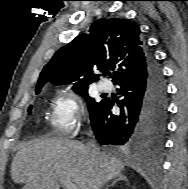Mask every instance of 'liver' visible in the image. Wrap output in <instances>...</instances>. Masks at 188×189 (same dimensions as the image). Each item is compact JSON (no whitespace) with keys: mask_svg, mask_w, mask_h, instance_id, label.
<instances>
[{"mask_svg":"<svg viewBox=\"0 0 188 189\" xmlns=\"http://www.w3.org/2000/svg\"><path fill=\"white\" fill-rule=\"evenodd\" d=\"M124 170L115 156L92 155L83 143L63 138H40L23 144L16 153L11 176L22 189H60L61 180L78 189H101Z\"/></svg>","mask_w":188,"mask_h":189,"instance_id":"6515ba94","label":"liver"}]
</instances>
